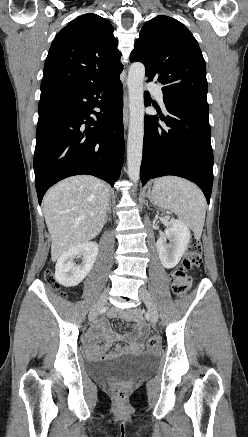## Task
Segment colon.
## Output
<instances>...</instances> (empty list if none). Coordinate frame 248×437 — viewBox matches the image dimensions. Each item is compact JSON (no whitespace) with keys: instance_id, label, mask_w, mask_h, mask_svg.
<instances>
[{"instance_id":"1","label":"colon","mask_w":248,"mask_h":437,"mask_svg":"<svg viewBox=\"0 0 248 437\" xmlns=\"http://www.w3.org/2000/svg\"><path fill=\"white\" fill-rule=\"evenodd\" d=\"M202 263V246L201 243L193 239L190 241L183 263L181 266L176 268L170 274V280L172 283V290L178 296H183L187 290L189 289L191 278L188 275V271L199 267ZM46 283L54 290L57 289V286L54 283L53 275L51 270H46L44 273ZM65 296V294H61ZM159 338L152 336L146 341L147 349H155L159 346ZM112 392L116 399L123 400L126 397V390L122 385H113Z\"/></svg>"}]
</instances>
